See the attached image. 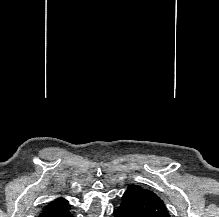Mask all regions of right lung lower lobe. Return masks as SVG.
Returning <instances> with one entry per match:
<instances>
[{
	"instance_id": "98d812e1",
	"label": "right lung lower lobe",
	"mask_w": 219,
	"mask_h": 217,
	"mask_svg": "<svg viewBox=\"0 0 219 217\" xmlns=\"http://www.w3.org/2000/svg\"><path fill=\"white\" fill-rule=\"evenodd\" d=\"M46 217H74V216L69 209H66L55 214L46 215Z\"/></svg>"
}]
</instances>
